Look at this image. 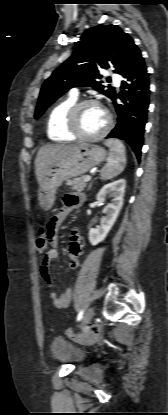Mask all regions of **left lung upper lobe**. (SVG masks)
<instances>
[{
  "instance_id": "1",
  "label": "left lung upper lobe",
  "mask_w": 168,
  "mask_h": 415,
  "mask_svg": "<svg viewBox=\"0 0 168 415\" xmlns=\"http://www.w3.org/2000/svg\"><path fill=\"white\" fill-rule=\"evenodd\" d=\"M140 51L133 39L116 25L96 26L84 32L76 43L72 56L58 67L44 82L35 118L67 90L77 86H91L112 99L114 87L102 85L99 69L115 68L122 75Z\"/></svg>"
}]
</instances>
